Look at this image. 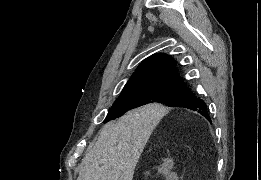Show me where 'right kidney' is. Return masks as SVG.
Segmentation results:
<instances>
[{
	"label": "right kidney",
	"mask_w": 261,
	"mask_h": 180,
	"mask_svg": "<svg viewBox=\"0 0 261 180\" xmlns=\"http://www.w3.org/2000/svg\"><path fill=\"white\" fill-rule=\"evenodd\" d=\"M174 166V160L171 158H165L161 168H158L159 174H163L166 180H177V174L175 172H171Z\"/></svg>",
	"instance_id": "right-kidney-1"
}]
</instances>
